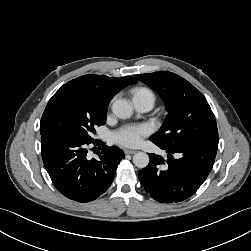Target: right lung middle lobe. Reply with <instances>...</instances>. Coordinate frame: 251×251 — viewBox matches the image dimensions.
I'll return each instance as SVG.
<instances>
[{
  "mask_svg": "<svg viewBox=\"0 0 251 251\" xmlns=\"http://www.w3.org/2000/svg\"><path fill=\"white\" fill-rule=\"evenodd\" d=\"M107 107L92 92L66 83L45 108L40 123L41 136L62 133L92 142L95 127L106 122Z\"/></svg>",
  "mask_w": 251,
  "mask_h": 251,
  "instance_id": "1",
  "label": "right lung middle lobe"
}]
</instances>
